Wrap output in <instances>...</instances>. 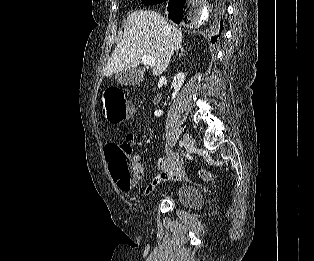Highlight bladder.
<instances>
[{
	"mask_svg": "<svg viewBox=\"0 0 314 261\" xmlns=\"http://www.w3.org/2000/svg\"><path fill=\"white\" fill-rule=\"evenodd\" d=\"M175 198L180 205L190 210L200 209L204 203L202 192L194 185L180 186Z\"/></svg>",
	"mask_w": 314,
	"mask_h": 261,
	"instance_id": "31cf9c89",
	"label": "bladder"
}]
</instances>
